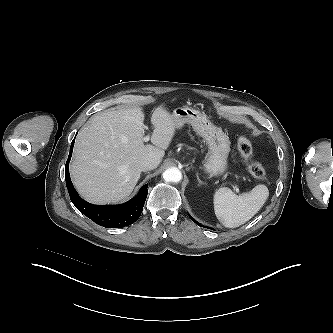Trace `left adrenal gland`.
I'll use <instances>...</instances> for the list:
<instances>
[{
    "label": "left adrenal gland",
    "instance_id": "1",
    "mask_svg": "<svg viewBox=\"0 0 333 333\" xmlns=\"http://www.w3.org/2000/svg\"><path fill=\"white\" fill-rule=\"evenodd\" d=\"M196 177H197V180H198V183H199L198 185L199 186L205 184L203 181L200 180L198 173L196 174Z\"/></svg>",
    "mask_w": 333,
    "mask_h": 333
}]
</instances>
